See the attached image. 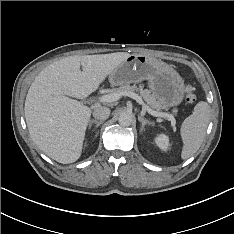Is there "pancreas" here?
<instances>
[{
	"label": "pancreas",
	"mask_w": 234,
	"mask_h": 234,
	"mask_svg": "<svg viewBox=\"0 0 234 234\" xmlns=\"http://www.w3.org/2000/svg\"><path fill=\"white\" fill-rule=\"evenodd\" d=\"M126 91H130V92L139 91L140 97L144 99V101L147 103V106L149 108L155 109L157 111L165 108L156 100L154 95L151 94V92L148 89H143L142 85H139L137 87L136 85L130 86L129 84H126V85L120 86L119 88L112 89V92H118V93L126 92ZM174 112H176V110H174Z\"/></svg>",
	"instance_id": "obj_1"
}]
</instances>
